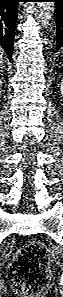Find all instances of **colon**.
<instances>
[{"label": "colon", "mask_w": 63, "mask_h": 297, "mask_svg": "<svg viewBox=\"0 0 63 297\" xmlns=\"http://www.w3.org/2000/svg\"><path fill=\"white\" fill-rule=\"evenodd\" d=\"M48 265V252L42 243L30 241L20 247L9 269L14 290L30 297L40 294L49 281Z\"/></svg>", "instance_id": "5ec220e1"}]
</instances>
